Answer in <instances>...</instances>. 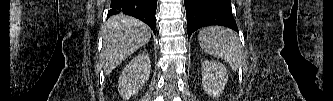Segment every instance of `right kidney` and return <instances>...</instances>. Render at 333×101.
Returning <instances> with one entry per match:
<instances>
[{
  "instance_id": "obj_1",
  "label": "right kidney",
  "mask_w": 333,
  "mask_h": 101,
  "mask_svg": "<svg viewBox=\"0 0 333 101\" xmlns=\"http://www.w3.org/2000/svg\"><path fill=\"white\" fill-rule=\"evenodd\" d=\"M150 68L148 54H139L130 61L118 81V91L123 99L128 100L143 87L149 78Z\"/></svg>"
}]
</instances>
